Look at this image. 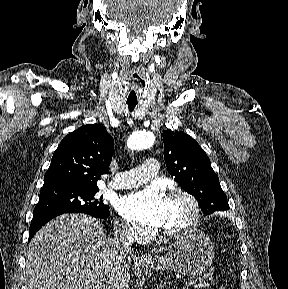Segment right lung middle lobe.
<instances>
[{"mask_svg": "<svg viewBox=\"0 0 288 289\" xmlns=\"http://www.w3.org/2000/svg\"><path fill=\"white\" fill-rule=\"evenodd\" d=\"M98 187H50L42 188L39 202L33 214L39 213H86L94 217L109 212V208L98 199Z\"/></svg>", "mask_w": 288, "mask_h": 289, "instance_id": "1", "label": "right lung middle lobe"}]
</instances>
